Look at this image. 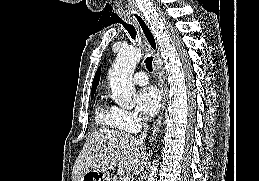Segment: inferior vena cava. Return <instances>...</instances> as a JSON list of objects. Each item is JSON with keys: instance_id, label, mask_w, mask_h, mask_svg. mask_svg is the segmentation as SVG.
I'll return each mask as SVG.
<instances>
[{"instance_id": "602c4592", "label": "inferior vena cava", "mask_w": 259, "mask_h": 181, "mask_svg": "<svg viewBox=\"0 0 259 181\" xmlns=\"http://www.w3.org/2000/svg\"><path fill=\"white\" fill-rule=\"evenodd\" d=\"M148 133V125L145 123V121L143 122V131L141 132V134L139 135V142L141 144H144V139L146 138Z\"/></svg>"}]
</instances>
